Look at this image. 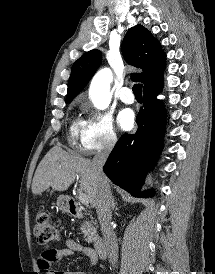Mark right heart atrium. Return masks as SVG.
<instances>
[{"mask_svg":"<svg viewBox=\"0 0 215 274\" xmlns=\"http://www.w3.org/2000/svg\"><path fill=\"white\" fill-rule=\"evenodd\" d=\"M117 140L112 117L104 112L88 110L76 148L83 154L109 151Z\"/></svg>","mask_w":215,"mask_h":274,"instance_id":"right-heart-atrium-1","label":"right heart atrium"}]
</instances>
